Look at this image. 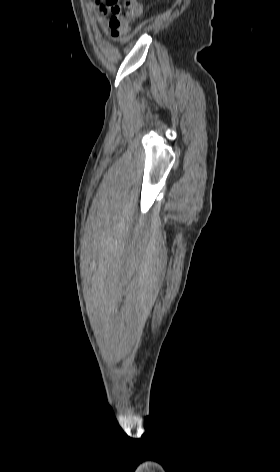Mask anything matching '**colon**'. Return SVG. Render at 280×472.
I'll use <instances>...</instances> for the list:
<instances>
[{
    "label": "colon",
    "mask_w": 280,
    "mask_h": 472,
    "mask_svg": "<svg viewBox=\"0 0 280 472\" xmlns=\"http://www.w3.org/2000/svg\"><path fill=\"white\" fill-rule=\"evenodd\" d=\"M99 7L103 14L110 15V23L115 27L126 26L132 23L142 12L138 0H125L123 8L119 0H99Z\"/></svg>",
    "instance_id": "1"
}]
</instances>
